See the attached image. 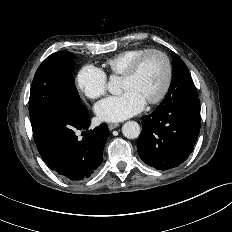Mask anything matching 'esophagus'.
<instances>
[{
    "label": "esophagus",
    "instance_id": "obj_1",
    "mask_svg": "<svg viewBox=\"0 0 232 232\" xmlns=\"http://www.w3.org/2000/svg\"><path fill=\"white\" fill-rule=\"evenodd\" d=\"M119 125H120L119 123H110L108 125V127L110 130H113V129L117 128Z\"/></svg>",
    "mask_w": 232,
    "mask_h": 232
}]
</instances>
